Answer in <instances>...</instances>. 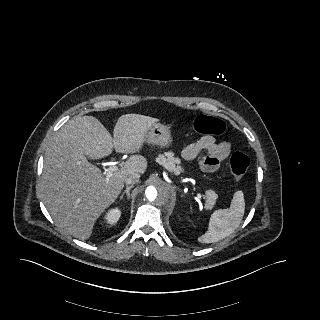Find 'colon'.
I'll use <instances>...</instances> for the list:
<instances>
[{"label":"colon","instance_id":"5ec220e1","mask_svg":"<svg viewBox=\"0 0 320 320\" xmlns=\"http://www.w3.org/2000/svg\"><path fill=\"white\" fill-rule=\"evenodd\" d=\"M193 127L196 131L209 135H220L225 130V123L215 116L199 115L193 120ZM250 161L242 152H234L229 160V168L235 180H240L245 175Z\"/></svg>","mask_w":320,"mask_h":320}]
</instances>
